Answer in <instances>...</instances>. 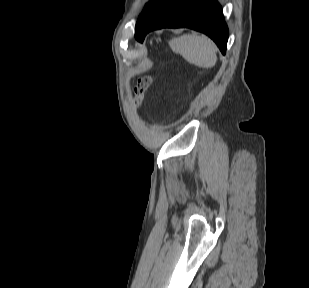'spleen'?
I'll return each instance as SVG.
<instances>
[{
  "label": "spleen",
  "instance_id": "3e777b00",
  "mask_svg": "<svg viewBox=\"0 0 309 288\" xmlns=\"http://www.w3.org/2000/svg\"><path fill=\"white\" fill-rule=\"evenodd\" d=\"M171 49L187 62L201 68H211L216 64V46L208 37L186 34L170 42Z\"/></svg>",
  "mask_w": 309,
  "mask_h": 288
}]
</instances>
